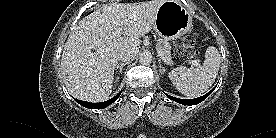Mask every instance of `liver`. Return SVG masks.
<instances>
[{"label": "liver", "mask_w": 276, "mask_h": 138, "mask_svg": "<svg viewBox=\"0 0 276 138\" xmlns=\"http://www.w3.org/2000/svg\"><path fill=\"white\" fill-rule=\"evenodd\" d=\"M165 1L104 5L80 20L70 33L61 58L67 90L89 102L108 99L118 54L138 48L140 37L154 28L157 11ZM117 27L122 28L124 37L113 35Z\"/></svg>", "instance_id": "1"}]
</instances>
